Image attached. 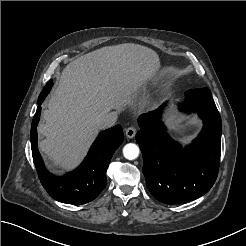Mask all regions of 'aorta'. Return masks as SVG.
I'll use <instances>...</instances> for the list:
<instances>
[{
	"mask_svg": "<svg viewBox=\"0 0 246 246\" xmlns=\"http://www.w3.org/2000/svg\"><path fill=\"white\" fill-rule=\"evenodd\" d=\"M139 147L134 143H128L123 148V155L128 160H134L139 156Z\"/></svg>",
	"mask_w": 246,
	"mask_h": 246,
	"instance_id": "aorta-1",
	"label": "aorta"
}]
</instances>
